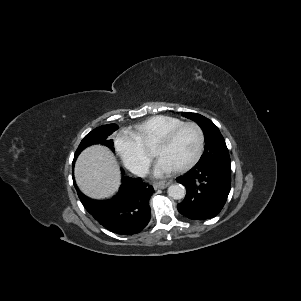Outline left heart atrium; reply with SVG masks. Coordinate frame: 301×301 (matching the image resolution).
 Here are the masks:
<instances>
[{"mask_svg": "<svg viewBox=\"0 0 301 301\" xmlns=\"http://www.w3.org/2000/svg\"><path fill=\"white\" fill-rule=\"evenodd\" d=\"M177 167H175L173 164L168 162L167 160L163 158H159L157 165L154 170V174L156 176H163L165 174L171 173L174 171Z\"/></svg>", "mask_w": 301, "mask_h": 301, "instance_id": "left-heart-atrium-1", "label": "left heart atrium"}]
</instances>
